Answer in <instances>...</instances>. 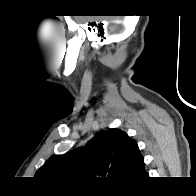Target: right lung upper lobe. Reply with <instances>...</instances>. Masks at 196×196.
Listing matches in <instances>:
<instances>
[{"instance_id":"right-lung-upper-lobe-1","label":"right lung upper lobe","mask_w":196,"mask_h":196,"mask_svg":"<svg viewBox=\"0 0 196 196\" xmlns=\"http://www.w3.org/2000/svg\"><path fill=\"white\" fill-rule=\"evenodd\" d=\"M147 175L138 145L120 129L99 132L85 148L53 156L35 177L49 185H66L80 180L134 184Z\"/></svg>"}]
</instances>
